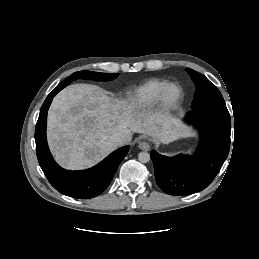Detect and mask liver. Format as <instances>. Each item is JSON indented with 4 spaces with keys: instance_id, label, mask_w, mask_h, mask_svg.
I'll return each instance as SVG.
<instances>
[{
    "instance_id": "6515ba94",
    "label": "liver",
    "mask_w": 259,
    "mask_h": 259,
    "mask_svg": "<svg viewBox=\"0 0 259 259\" xmlns=\"http://www.w3.org/2000/svg\"><path fill=\"white\" fill-rule=\"evenodd\" d=\"M132 133L169 143L185 133L178 119L162 112H146L135 103L107 95L100 87L73 84L59 92L48 112L47 137L50 150L63 168L92 167L117 146L110 137Z\"/></svg>"
}]
</instances>
